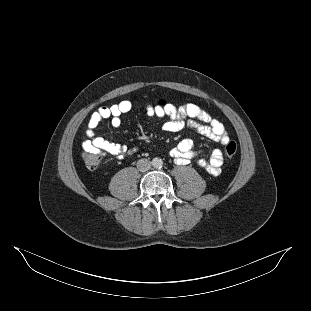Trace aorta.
Returning a JSON list of instances; mask_svg holds the SVG:
<instances>
[{
    "label": "aorta",
    "mask_w": 311,
    "mask_h": 311,
    "mask_svg": "<svg viewBox=\"0 0 311 311\" xmlns=\"http://www.w3.org/2000/svg\"><path fill=\"white\" fill-rule=\"evenodd\" d=\"M151 163L154 168H160L163 165V161L160 158H154Z\"/></svg>",
    "instance_id": "obj_1"
}]
</instances>
